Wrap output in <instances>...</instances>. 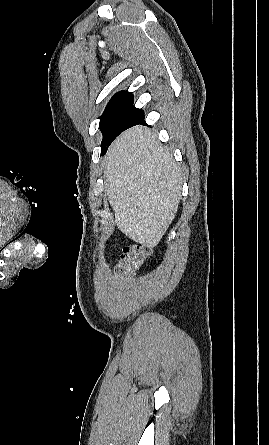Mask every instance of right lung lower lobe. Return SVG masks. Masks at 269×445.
Returning a JSON list of instances; mask_svg holds the SVG:
<instances>
[{
	"mask_svg": "<svg viewBox=\"0 0 269 445\" xmlns=\"http://www.w3.org/2000/svg\"><path fill=\"white\" fill-rule=\"evenodd\" d=\"M145 122H144V117L137 123V124H144ZM136 124V125H137Z\"/></svg>",
	"mask_w": 269,
	"mask_h": 445,
	"instance_id": "obj_1",
	"label": "right lung lower lobe"
}]
</instances>
